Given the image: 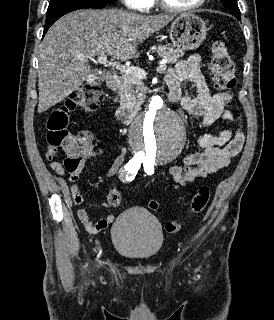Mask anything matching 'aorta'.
<instances>
[{
    "label": "aorta",
    "instance_id": "obj_1",
    "mask_svg": "<svg viewBox=\"0 0 274 320\" xmlns=\"http://www.w3.org/2000/svg\"><path fill=\"white\" fill-rule=\"evenodd\" d=\"M130 140L138 157L166 163L180 154L185 142V129L179 116L160 96L155 95L147 110L131 124Z\"/></svg>",
    "mask_w": 274,
    "mask_h": 320
}]
</instances>
